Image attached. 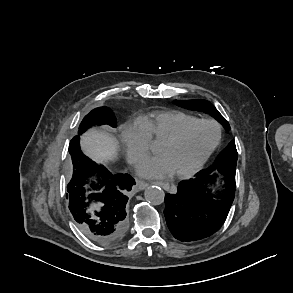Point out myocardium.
I'll return each mask as SVG.
<instances>
[{"instance_id": "f54148a6", "label": "myocardium", "mask_w": 293, "mask_h": 293, "mask_svg": "<svg viewBox=\"0 0 293 293\" xmlns=\"http://www.w3.org/2000/svg\"><path fill=\"white\" fill-rule=\"evenodd\" d=\"M202 123L213 125L216 128L215 140L213 141L211 146L207 149V151L203 154V156L190 169L183 172L175 173V175L178 178H183V179L190 178L202 169V167L206 164V162L209 160V158L212 156V154L215 152V150L218 148L221 142L222 128L220 124L213 119L197 118L196 120H193L185 124L173 135L162 140V142L165 144H174L180 141L190 128H192L193 126L197 124H202Z\"/></svg>"}]
</instances>
